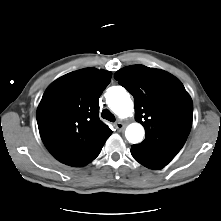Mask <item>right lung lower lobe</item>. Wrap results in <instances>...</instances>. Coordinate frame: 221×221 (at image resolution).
Returning a JSON list of instances; mask_svg holds the SVG:
<instances>
[{"label":"right lung lower lobe","mask_w":221,"mask_h":221,"mask_svg":"<svg viewBox=\"0 0 221 221\" xmlns=\"http://www.w3.org/2000/svg\"><path fill=\"white\" fill-rule=\"evenodd\" d=\"M105 143V142H104ZM104 143H102L100 146H98L94 151H92L85 159H83L82 161H80L79 163H77L76 167H81L84 166L88 163H90L92 160H94L100 153Z\"/></svg>","instance_id":"obj_1"}]
</instances>
